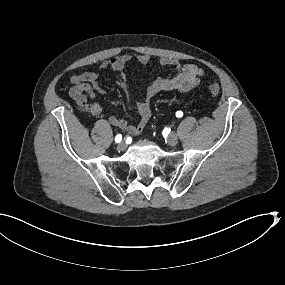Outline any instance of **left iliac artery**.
<instances>
[{"label": "left iliac artery", "instance_id": "1", "mask_svg": "<svg viewBox=\"0 0 285 285\" xmlns=\"http://www.w3.org/2000/svg\"><path fill=\"white\" fill-rule=\"evenodd\" d=\"M183 116V112L182 111H177L176 112V117L180 118Z\"/></svg>", "mask_w": 285, "mask_h": 285}]
</instances>
